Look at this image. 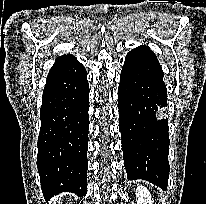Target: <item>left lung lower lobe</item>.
I'll use <instances>...</instances> for the list:
<instances>
[{
    "mask_svg": "<svg viewBox=\"0 0 206 204\" xmlns=\"http://www.w3.org/2000/svg\"><path fill=\"white\" fill-rule=\"evenodd\" d=\"M164 73L156 58L132 65L125 58L118 88L124 166L130 180H147L163 190L169 178L168 119Z\"/></svg>",
    "mask_w": 206,
    "mask_h": 204,
    "instance_id": "1",
    "label": "left lung lower lobe"
}]
</instances>
